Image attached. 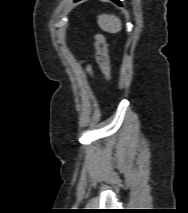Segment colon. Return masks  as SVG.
<instances>
[{"mask_svg": "<svg viewBox=\"0 0 188 213\" xmlns=\"http://www.w3.org/2000/svg\"><path fill=\"white\" fill-rule=\"evenodd\" d=\"M96 60L107 79H111L110 58L106 38L102 34L95 37Z\"/></svg>", "mask_w": 188, "mask_h": 213, "instance_id": "obj_1", "label": "colon"}]
</instances>
